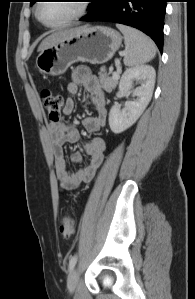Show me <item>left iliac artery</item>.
<instances>
[{"mask_svg": "<svg viewBox=\"0 0 195 299\" xmlns=\"http://www.w3.org/2000/svg\"><path fill=\"white\" fill-rule=\"evenodd\" d=\"M76 261H77V255H74L69 261V271H71L74 268Z\"/></svg>", "mask_w": 195, "mask_h": 299, "instance_id": "44dca946", "label": "left iliac artery"}]
</instances>
